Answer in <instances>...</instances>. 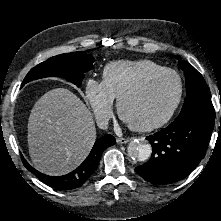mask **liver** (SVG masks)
Instances as JSON below:
<instances>
[{"mask_svg": "<svg viewBox=\"0 0 221 221\" xmlns=\"http://www.w3.org/2000/svg\"><path fill=\"white\" fill-rule=\"evenodd\" d=\"M27 138L34 167L44 174L60 176L88 156L96 140V128L85 104L68 89L56 88L35 103Z\"/></svg>", "mask_w": 221, "mask_h": 221, "instance_id": "6515ba94", "label": "liver"}]
</instances>
